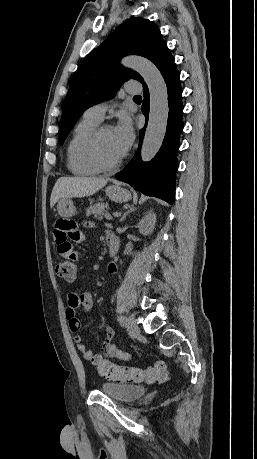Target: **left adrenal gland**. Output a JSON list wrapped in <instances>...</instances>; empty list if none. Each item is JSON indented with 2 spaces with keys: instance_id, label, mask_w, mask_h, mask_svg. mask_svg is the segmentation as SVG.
Listing matches in <instances>:
<instances>
[{
  "instance_id": "1",
  "label": "left adrenal gland",
  "mask_w": 257,
  "mask_h": 459,
  "mask_svg": "<svg viewBox=\"0 0 257 459\" xmlns=\"http://www.w3.org/2000/svg\"><path fill=\"white\" fill-rule=\"evenodd\" d=\"M124 208L126 209V212H124V214L120 218V222L124 221L126 216H128V214L136 210V207H134V205H126Z\"/></svg>"
}]
</instances>
